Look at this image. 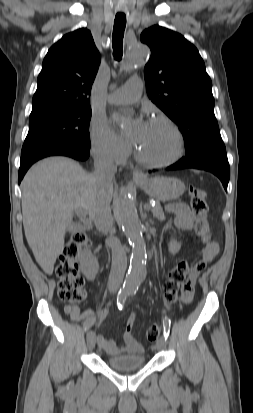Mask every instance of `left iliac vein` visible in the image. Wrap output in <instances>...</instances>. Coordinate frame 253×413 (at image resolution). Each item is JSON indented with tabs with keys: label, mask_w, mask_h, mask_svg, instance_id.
<instances>
[{
	"label": "left iliac vein",
	"mask_w": 253,
	"mask_h": 413,
	"mask_svg": "<svg viewBox=\"0 0 253 413\" xmlns=\"http://www.w3.org/2000/svg\"><path fill=\"white\" fill-rule=\"evenodd\" d=\"M166 347V341L165 338L163 336H161L157 342H156V349L157 350H163Z\"/></svg>",
	"instance_id": "4c4485c4"
}]
</instances>
